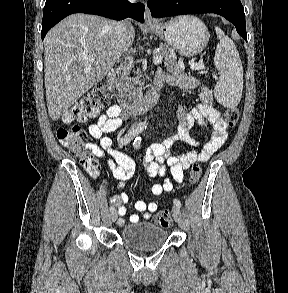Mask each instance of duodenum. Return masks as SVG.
I'll use <instances>...</instances> for the list:
<instances>
[{"mask_svg":"<svg viewBox=\"0 0 288 293\" xmlns=\"http://www.w3.org/2000/svg\"><path fill=\"white\" fill-rule=\"evenodd\" d=\"M166 81L162 76L155 77L152 88L144 95L134 99L119 98V107L124 115L142 113L151 108L158 101ZM107 88L110 92L118 91V83L115 72L112 70L107 76Z\"/></svg>","mask_w":288,"mask_h":293,"instance_id":"obj_1","label":"duodenum"}]
</instances>
